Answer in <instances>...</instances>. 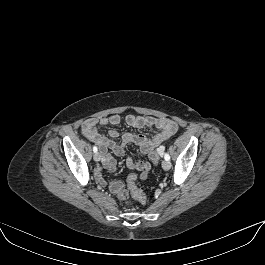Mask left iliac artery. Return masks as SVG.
Here are the masks:
<instances>
[{
  "mask_svg": "<svg viewBox=\"0 0 265 265\" xmlns=\"http://www.w3.org/2000/svg\"><path fill=\"white\" fill-rule=\"evenodd\" d=\"M164 158H165V160L169 161L170 160L169 154L165 153Z\"/></svg>",
  "mask_w": 265,
  "mask_h": 265,
  "instance_id": "44dca946",
  "label": "left iliac artery"
}]
</instances>
